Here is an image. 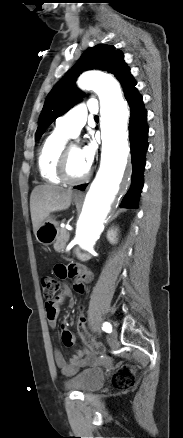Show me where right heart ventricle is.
I'll return each instance as SVG.
<instances>
[{"mask_svg":"<svg viewBox=\"0 0 183 438\" xmlns=\"http://www.w3.org/2000/svg\"><path fill=\"white\" fill-rule=\"evenodd\" d=\"M68 136L55 128L44 140L38 153V169L41 177L48 183L60 184L56 168L59 155Z\"/></svg>","mask_w":183,"mask_h":438,"instance_id":"right-heart-ventricle-1","label":"right heart ventricle"}]
</instances>
